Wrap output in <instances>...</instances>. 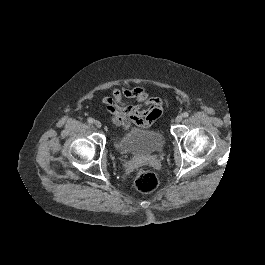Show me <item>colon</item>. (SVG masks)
<instances>
[{
    "label": "colon",
    "instance_id": "1",
    "mask_svg": "<svg viewBox=\"0 0 265 265\" xmlns=\"http://www.w3.org/2000/svg\"><path fill=\"white\" fill-rule=\"evenodd\" d=\"M134 185L138 191L149 193L157 188L158 178L152 171L139 169L135 173Z\"/></svg>",
    "mask_w": 265,
    "mask_h": 265
}]
</instances>
